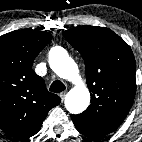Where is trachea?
Returning <instances> with one entry per match:
<instances>
[{
    "instance_id": "1",
    "label": "trachea",
    "mask_w": 142,
    "mask_h": 142,
    "mask_svg": "<svg viewBox=\"0 0 142 142\" xmlns=\"http://www.w3.org/2000/svg\"><path fill=\"white\" fill-rule=\"evenodd\" d=\"M65 85L61 81H54L50 86V91L54 93H59L65 90Z\"/></svg>"
}]
</instances>
